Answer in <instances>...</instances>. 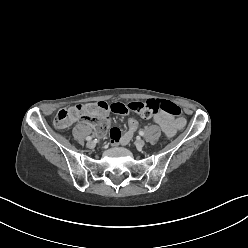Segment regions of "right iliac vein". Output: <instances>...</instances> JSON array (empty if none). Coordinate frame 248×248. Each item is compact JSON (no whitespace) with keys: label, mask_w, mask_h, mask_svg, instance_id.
<instances>
[{"label":"right iliac vein","mask_w":248,"mask_h":248,"mask_svg":"<svg viewBox=\"0 0 248 248\" xmlns=\"http://www.w3.org/2000/svg\"><path fill=\"white\" fill-rule=\"evenodd\" d=\"M95 145H96V144H95L94 141H89V142H87V147H88V148H91V149H92V148L95 147Z\"/></svg>","instance_id":"63e3f726"}]
</instances>
